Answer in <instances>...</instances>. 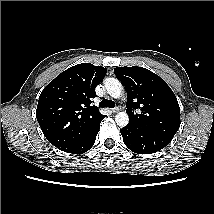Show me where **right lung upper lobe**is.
Wrapping results in <instances>:
<instances>
[{
  "instance_id": "right-lung-upper-lobe-1",
  "label": "right lung upper lobe",
  "mask_w": 214,
  "mask_h": 214,
  "mask_svg": "<svg viewBox=\"0 0 214 214\" xmlns=\"http://www.w3.org/2000/svg\"><path fill=\"white\" fill-rule=\"evenodd\" d=\"M107 69L81 63L59 74L42 91L37 121L47 140L62 151L81 142L105 117L92 106Z\"/></svg>"
}]
</instances>
